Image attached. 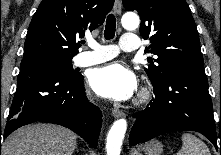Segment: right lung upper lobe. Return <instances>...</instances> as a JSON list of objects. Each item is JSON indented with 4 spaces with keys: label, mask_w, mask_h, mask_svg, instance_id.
Masks as SVG:
<instances>
[{
    "label": "right lung upper lobe",
    "mask_w": 221,
    "mask_h": 155,
    "mask_svg": "<svg viewBox=\"0 0 221 155\" xmlns=\"http://www.w3.org/2000/svg\"><path fill=\"white\" fill-rule=\"evenodd\" d=\"M114 0H43L29 25L24 56L56 54L73 57L85 31L103 24Z\"/></svg>",
    "instance_id": "right-lung-upper-lobe-1"
}]
</instances>
